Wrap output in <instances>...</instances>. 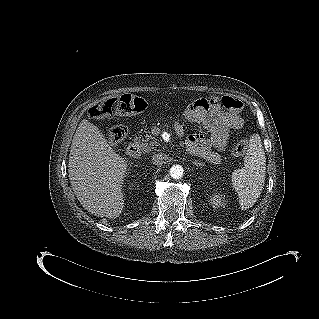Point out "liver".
<instances>
[{
    "mask_svg": "<svg viewBox=\"0 0 319 319\" xmlns=\"http://www.w3.org/2000/svg\"><path fill=\"white\" fill-rule=\"evenodd\" d=\"M68 173L72 189L90 213L117 218L124 208L122 184L128 163L97 126L83 119L72 140Z\"/></svg>",
    "mask_w": 319,
    "mask_h": 319,
    "instance_id": "obj_1",
    "label": "liver"
}]
</instances>
